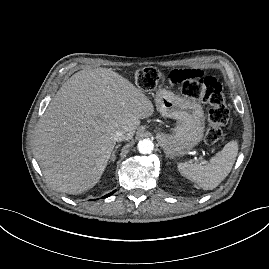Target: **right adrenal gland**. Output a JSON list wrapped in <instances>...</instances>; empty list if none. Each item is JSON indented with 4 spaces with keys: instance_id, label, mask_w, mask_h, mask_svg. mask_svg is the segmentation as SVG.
Instances as JSON below:
<instances>
[{
    "instance_id": "1",
    "label": "right adrenal gland",
    "mask_w": 269,
    "mask_h": 269,
    "mask_svg": "<svg viewBox=\"0 0 269 269\" xmlns=\"http://www.w3.org/2000/svg\"><path fill=\"white\" fill-rule=\"evenodd\" d=\"M120 147V144L116 145L115 146V149L113 150L112 154H111V158H110V161H115V154L117 152V149Z\"/></svg>"
}]
</instances>
